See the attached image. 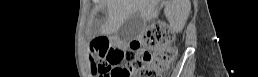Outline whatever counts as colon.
Returning a JSON list of instances; mask_svg holds the SVG:
<instances>
[{"instance_id": "1", "label": "colon", "mask_w": 258, "mask_h": 77, "mask_svg": "<svg viewBox=\"0 0 258 77\" xmlns=\"http://www.w3.org/2000/svg\"><path fill=\"white\" fill-rule=\"evenodd\" d=\"M96 71L105 77H162L174 62L177 51L168 25L154 23L128 48H118L96 38Z\"/></svg>"}]
</instances>
